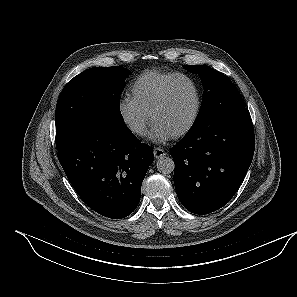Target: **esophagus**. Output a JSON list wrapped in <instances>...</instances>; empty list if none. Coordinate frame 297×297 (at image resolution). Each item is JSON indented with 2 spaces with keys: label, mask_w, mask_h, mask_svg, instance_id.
I'll use <instances>...</instances> for the list:
<instances>
[{
  "label": "esophagus",
  "mask_w": 297,
  "mask_h": 297,
  "mask_svg": "<svg viewBox=\"0 0 297 297\" xmlns=\"http://www.w3.org/2000/svg\"><path fill=\"white\" fill-rule=\"evenodd\" d=\"M153 151L156 159H159L167 154L166 151L162 148H154Z\"/></svg>",
  "instance_id": "34e87169"
}]
</instances>
